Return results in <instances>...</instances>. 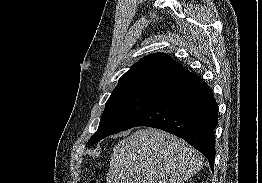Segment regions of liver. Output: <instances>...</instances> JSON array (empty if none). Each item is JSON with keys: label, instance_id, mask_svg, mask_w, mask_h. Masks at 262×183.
Returning a JSON list of instances; mask_svg holds the SVG:
<instances>
[{"label": "liver", "instance_id": "obj_1", "mask_svg": "<svg viewBox=\"0 0 262 183\" xmlns=\"http://www.w3.org/2000/svg\"><path fill=\"white\" fill-rule=\"evenodd\" d=\"M202 166V155L183 139L145 128L114 146L107 183H184Z\"/></svg>", "mask_w": 262, "mask_h": 183}]
</instances>
